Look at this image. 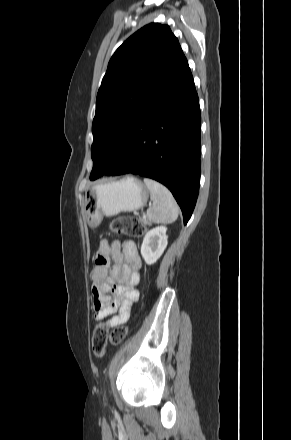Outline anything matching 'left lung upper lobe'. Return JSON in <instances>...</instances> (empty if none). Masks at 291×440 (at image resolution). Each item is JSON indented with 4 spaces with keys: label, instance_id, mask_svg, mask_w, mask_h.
Masks as SVG:
<instances>
[{
    "label": "left lung upper lobe",
    "instance_id": "obj_1",
    "mask_svg": "<svg viewBox=\"0 0 291 440\" xmlns=\"http://www.w3.org/2000/svg\"><path fill=\"white\" fill-rule=\"evenodd\" d=\"M184 58L178 39L159 23L144 26L116 50L97 94L91 180L104 174L149 102Z\"/></svg>",
    "mask_w": 291,
    "mask_h": 440
}]
</instances>
